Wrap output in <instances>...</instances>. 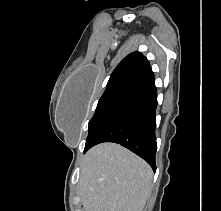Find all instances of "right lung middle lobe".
Returning <instances> with one entry per match:
<instances>
[{
	"label": "right lung middle lobe",
	"instance_id": "1",
	"mask_svg": "<svg viewBox=\"0 0 221 211\" xmlns=\"http://www.w3.org/2000/svg\"><path fill=\"white\" fill-rule=\"evenodd\" d=\"M136 92L131 89H119L102 95L95 114L89 121V134L86 139V145L94 140Z\"/></svg>",
	"mask_w": 221,
	"mask_h": 211
}]
</instances>
